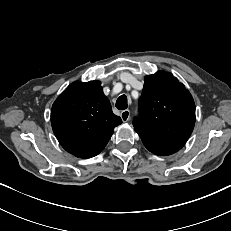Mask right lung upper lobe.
<instances>
[{
    "instance_id": "1",
    "label": "right lung upper lobe",
    "mask_w": 231,
    "mask_h": 231,
    "mask_svg": "<svg viewBox=\"0 0 231 231\" xmlns=\"http://www.w3.org/2000/svg\"><path fill=\"white\" fill-rule=\"evenodd\" d=\"M121 123L97 80L70 84L58 96L51 110L56 138L67 152L79 158L99 154L114 128Z\"/></svg>"
}]
</instances>
